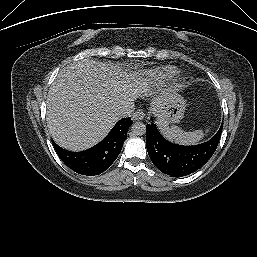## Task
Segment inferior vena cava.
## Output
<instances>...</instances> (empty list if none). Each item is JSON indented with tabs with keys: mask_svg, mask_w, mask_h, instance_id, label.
Instances as JSON below:
<instances>
[{
	"mask_svg": "<svg viewBox=\"0 0 257 257\" xmlns=\"http://www.w3.org/2000/svg\"><path fill=\"white\" fill-rule=\"evenodd\" d=\"M133 111H134V102H126L118 108L116 114L119 118H126V117H130Z\"/></svg>",
	"mask_w": 257,
	"mask_h": 257,
	"instance_id": "inferior-vena-cava-1",
	"label": "inferior vena cava"
}]
</instances>
